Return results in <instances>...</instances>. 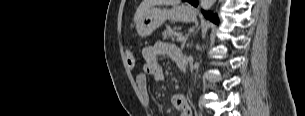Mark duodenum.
Listing matches in <instances>:
<instances>
[{"mask_svg": "<svg viewBox=\"0 0 305 116\" xmlns=\"http://www.w3.org/2000/svg\"><path fill=\"white\" fill-rule=\"evenodd\" d=\"M176 64L178 66V68L180 69V71L184 74L185 71H186V62H185V58L182 56V57H179L176 59Z\"/></svg>", "mask_w": 305, "mask_h": 116, "instance_id": "410a0bca", "label": "duodenum"}]
</instances>
